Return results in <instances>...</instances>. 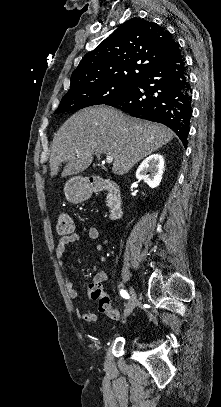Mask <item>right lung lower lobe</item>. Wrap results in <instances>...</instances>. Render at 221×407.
Segmentation results:
<instances>
[{
  "mask_svg": "<svg viewBox=\"0 0 221 407\" xmlns=\"http://www.w3.org/2000/svg\"><path fill=\"white\" fill-rule=\"evenodd\" d=\"M191 93L187 64L179 46L168 59L145 72L131 91L106 105L168 126L186 147L192 115Z\"/></svg>",
  "mask_w": 221,
  "mask_h": 407,
  "instance_id": "1",
  "label": "right lung lower lobe"
}]
</instances>
